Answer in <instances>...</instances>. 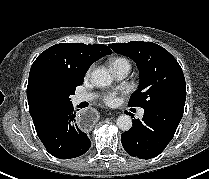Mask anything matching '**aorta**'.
I'll return each mask as SVG.
<instances>
[{
  "mask_svg": "<svg viewBox=\"0 0 209 179\" xmlns=\"http://www.w3.org/2000/svg\"><path fill=\"white\" fill-rule=\"evenodd\" d=\"M112 76L106 68H97L91 73V81L98 87H105L112 83ZM117 126L122 131H128L132 127V119L129 115H121L117 118Z\"/></svg>",
  "mask_w": 209,
  "mask_h": 179,
  "instance_id": "762f6f07",
  "label": "aorta"
}]
</instances>
